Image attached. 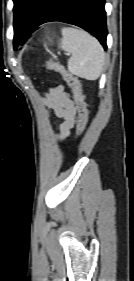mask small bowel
Returning a JSON list of instances; mask_svg holds the SVG:
<instances>
[{
	"instance_id": "c3829d8e",
	"label": "small bowel",
	"mask_w": 134,
	"mask_h": 281,
	"mask_svg": "<svg viewBox=\"0 0 134 281\" xmlns=\"http://www.w3.org/2000/svg\"><path fill=\"white\" fill-rule=\"evenodd\" d=\"M44 103L47 112L57 121V137L66 138L75 124V106L70 96L62 86L51 88L45 95Z\"/></svg>"
}]
</instances>
